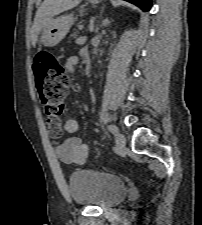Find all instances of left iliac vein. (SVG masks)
Instances as JSON below:
<instances>
[{
  "instance_id": "left-iliac-vein-1",
  "label": "left iliac vein",
  "mask_w": 202,
  "mask_h": 225,
  "mask_svg": "<svg viewBox=\"0 0 202 225\" xmlns=\"http://www.w3.org/2000/svg\"><path fill=\"white\" fill-rule=\"evenodd\" d=\"M115 141H116V145H117L118 149L123 150L126 145L125 136L123 134L117 132L115 134Z\"/></svg>"
}]
</instances>
